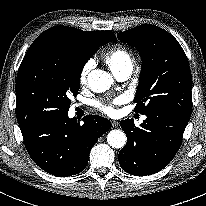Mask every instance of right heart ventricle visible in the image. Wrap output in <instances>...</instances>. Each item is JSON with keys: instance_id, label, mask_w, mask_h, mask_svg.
<instances>
[{"instance_id": "right-heart-ventricle-1", "label": "right heart ventricle", "mask_w": 206, "mask_h": 206, "mask_svg": "<svg viewBox=\"0 0 206 206\" xmlns=\"http://www.w3.org/2000/svg\"><path fill=\"white\" fill-rule=\"evenodd\" d=\"M105 62L113 73L125 67H133L134 57L130 49L116 46L104 55Z\"/></svg>"}]
</instances>
